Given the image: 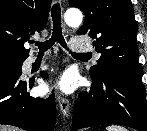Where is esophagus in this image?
Returning <instances> with one entry per match:
<instances>
[{
    "mask_svg": "<svg viewBox=\"0 0 147 131\" xmlns=\"http://www.w3.org/2000/svg\"><path fill=\"white\" fill-rule=\"evenodd\" d=\"M61 1V0H59ZM57 101L60 108V112L63 115L64 118H68L69 111H70V102L69 100L62 95L61 93L57 94Z\"/></svg>",
    "mask_w": 147,
    "mask_h": 131,
    "instance_id": "obj_1",
    "label": "esophagus"
}]
</instances>
